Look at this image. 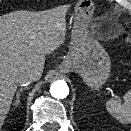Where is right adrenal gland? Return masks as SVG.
Instances as JSON below:
<instances>
[{
    "mask_svg": "<svg viewBox=\"0 0 131 131\" xmlns=\"http://www.w3.org/2000/svg\"><path fill=\"white\" fill-rule=\"evenodd\" d=\"M23 90L24 89H22V88L18 90V92L16 94V100H15L14 106H18L19 105V102H20L19 96H20V94L22 93Z\"/></svg>",
    "mask_w": 131,
    "mask_h": 131,
    "instance_id": "obj_1",
    "label": "right adrenal gland"
}]
</instances>
